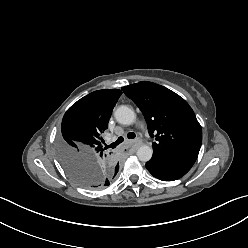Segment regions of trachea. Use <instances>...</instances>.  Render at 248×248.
<instances>
[{"label":"trachea","instance_id":"obj_1","mask_svg":"<svg viewBox=\"0 0 248 248\" xmlns=\"http://www.w3.org/2000/svg\"><path fill=\"white\" fill-rule=\"evenodd\" d=\"M128 139H134L136 137L135 133L129 132L127 134ZM124 141L123 137H119L115 142L111 143L108 147L115 148L117 145L121 144Z\"/></svg>","mask_w":248,"mask_h":248}]
</instances>
